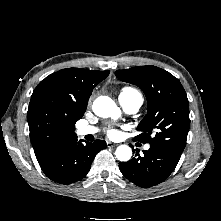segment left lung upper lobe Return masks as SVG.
Wrapping results in <instances>:
<instances>
[{
    "label": "left lung upper lobe",
    "mask_w": 221,
    "mask_h": 221,
    "mask_svg": "<svg viewBox=\"0 0 221 221\" xmlns=\"http://www.w3.org/2000/svg\"><path fill=\"white\" fill-rule=\"evenodd\" d=\"M118 79L140 87L148 101L147 114L135 137L143 143L164 147L181 155L189 131V102L181 83L156 66H138L117 70Z\"/></svg>",
    "instance_id": "5c2ea615"
}]
</instances>
